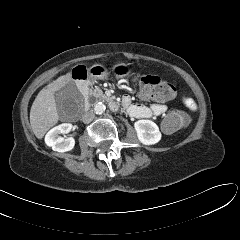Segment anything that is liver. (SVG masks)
Instances as JSON below:
<instances>
[{"mask_svg": "<svg viewBox=\"0 0 240 240\" xmlns=\"http://www.w3.org/2000/svg\"><path fill=\"white\" fill-rule=\"evenodd\" d=\"M71 81V73H67L48 84L36 96L30 110V124L38 139H42L45 133L58 122L54 95Z\"/></svg>", "mask_w": 240, "mask_h": 240, "instance_id": "obj_1", "label": "liver"}]
</instances>
